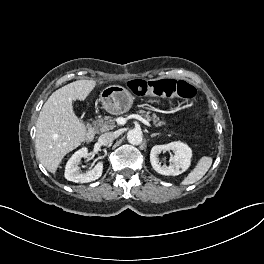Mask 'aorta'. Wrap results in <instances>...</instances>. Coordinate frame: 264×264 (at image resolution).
I'll list each match as a JSON object with an SVG mask.
<instances>
[{"mask_svg": "<svg viewBox=\"0 0 264 264\" xmlns=\"http://www.w3.org/2000/svg\"><path fill=\"white\" fill-rule=\"evenodd\" d=\"M127 140L132 145H140L143 141V134L139 129H132L127 133Z\"/></svg>", "mask_w": 264, "mask_h": 264, "instance_id": "762f6f07", "label": "aorta"}]
</instances>
